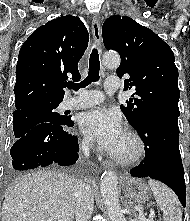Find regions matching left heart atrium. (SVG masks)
<instances>
[{"label":"left heart atrium","mask_w":190,"mask_h":221,"mask_svg":"<svg viewBox=\"0 0 190 221\" xmlns=\"http://www.w3.org/2000/svg\"><path fill=\"white\" fill-rule=\"evenodd\" d=\"M82 131L110 150L124 133L120 115L107 108H95L84 113L80 120Z\"/></svg>","instance_id":"39dd6f15"}]
</instances>
